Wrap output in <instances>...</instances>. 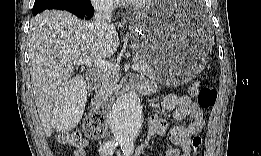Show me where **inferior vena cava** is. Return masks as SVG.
<instances>
[{"label": "inferior vena cava", "instance_id": "obj_1", "mask_svg": "<svg viewBox=\"0 0 261 156\" xmlns=\"http://www.w3.org/2000/svg\"><path fill=\"white\" fill-rule=\"evenodd\" d=\"M93 6L95 13L90 26L96 35H103L111 22L113 3L111 0H96Z\"/></svg>", "mask_w": 261, "mask_h": 156}]
</instances>
